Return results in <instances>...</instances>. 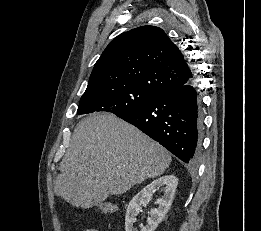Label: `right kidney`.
I'll list each match as a JSON object with an SVG mask.
<instances>
[{
	"label": "right kidney",
	"instance_id": "right-kidney-1",
	"mask_svg": "<svg viewBox=\"0 0 261 231\" xmlns=\"http://www.w3.org/2000/svg\"><path fill=\"white\" fill-rule=\"evenodd\" d=\"M177 184L178 180L174 175H165L152 181L136 194L127 207L125 230L137 231L133 224L136 222V216L139 214L140 206H146L151 201L156 188L163 187L164 195L156 201L158 208L151 210L147 225L141 227V231H154L172 204Z\"/></svg>",
	"mask_w": 261,
	"mask_h": 231
}]
</instances>
